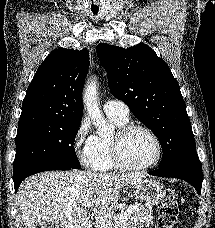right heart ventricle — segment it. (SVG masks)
I'll return each instance as SVG.
<instances>
[{"instance_id": "1", "label": "right heart ventricle", "mask_w": 215, "mask_h": 228, "mask_svg": "<svg viewBox=\"0 0 215 228\" xmlns=\"http://www.w3.org/2000/svg\"><path fill=\"white\" fill-rule=\"evenodd\" d=\"M111 123L120 128L129 122V118H122L115 114H108ZM112 136H92L89 143L88 165L94 171L107 172L117 168L111 152Z\"/></svg>"}]
</instances>
